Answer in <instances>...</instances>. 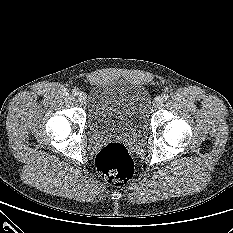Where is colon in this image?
<instances>
[{"instance_id": "colon-1", "label": "colon", "mask_w": 233, "mask_h": 233, "mask_svg": "<svg viewBox=\"0 0 233 233\" xmlns=\"http://www.w3.org/2000/svg\"><path fill=\"white\" fill-rule=\"evenodd\" d=\"M96 166L104 179L116 185L127 181L134 170V163L127 148L117 142L108 143L99 151Z\"/></svg>"}]
</instances>
